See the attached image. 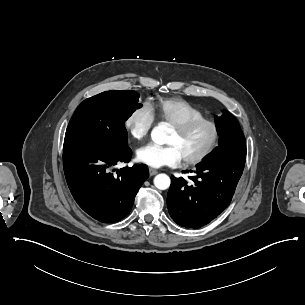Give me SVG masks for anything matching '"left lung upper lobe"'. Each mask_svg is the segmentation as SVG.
I'll return each instance as SVG.
<instances>
[{"mask_svg":"<svg viewBox=\"0 0 305 305\" xmlns=\"http://www.w3.org/2000/svg\"><path fill=\"white\" fill-rule=\"evenodd\" d=\"M216 128L220 137L219 146L207 158L246 157V140L236 118L228 111L216 117Z\"/></svg>","mask_w":305,"mask_h":305,"instance_id":"5c2ea615","label":"left lung upper lobe"}]
</instances>
